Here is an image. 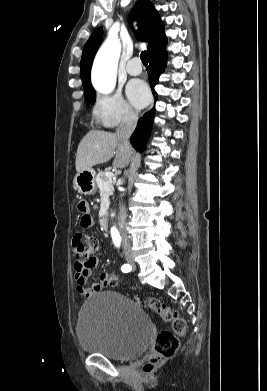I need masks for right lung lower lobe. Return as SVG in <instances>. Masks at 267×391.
<instances>
[{"mask_svg": "<svg viewBox=\"0 0 267 391\" xmlns=\"http://www.w3.org/2000/svg\"><path fill=\"white\" fill-rule=\"evenodd\" d=\"M148 60L149 67L147 68V72L149 75L150 87L153 95L155 96L156 92L154 90V86L158 84V77L161 73H163L166 66L167 51L165 50V47L159 50L157 53L151 55ZM154 115L155 109L146 112L142 118L139 119L136 130L130 138V142L133 147L140 152L144 150L150 135Z\"/></svg>", "mask_w": 267, "mask_h": 391, "instance_id": "1", "label": "right lung lower lobe"}]
</instances>
